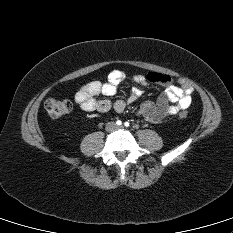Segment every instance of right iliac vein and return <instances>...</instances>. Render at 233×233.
Returning a JSON list of instances; mask_svg holds the SVG:
<instances>
[{
	"label": "right iliac vein",
	"instance_id": "63e3f726",
	"mask_svg": "<svg viewBox=\"0 0 233 233\" xmlns=\"http://www.w3.org/2000/svg\"><path fill=\"white\" fill-rule=\"evenodd\" d=\"M113 127H114V124L113 123H110L109 125H108V129H113Z\"/></svg>",
	"mask_w": 233,
	"mask_h": 233
}]
</instances>
